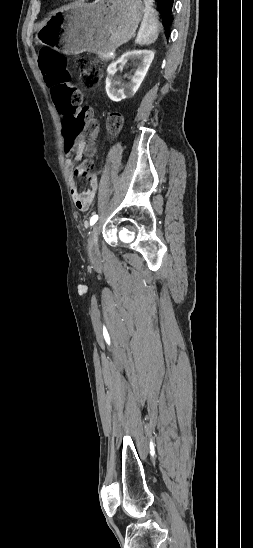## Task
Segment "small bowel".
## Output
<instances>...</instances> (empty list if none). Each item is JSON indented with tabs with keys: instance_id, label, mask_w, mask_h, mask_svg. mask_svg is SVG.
Masks as SVG:
<instances>
[{
	"instance_id": "small-bowel-1",
	"label": "small bowel",
	"mask_w": 253,
	"mask_h": 548,
	"mask_svg": "<svg viewBox=\"0 0 253 548\" xmlns=\"http://www.w3.org/2000/svg\"><path fill=\"white\" fill-rule=\"evenodd\" d=\"M44 75V74H43ZM48 86V83H46ZM86 142L84 136L75 137L72 139V143H67L66 159H67V171L70 177V192L75 206L81 210H87L93 203L97 192V178L96 176L87 177L89 180V189L87 191H80L79 185L75 180V177L82 176L77 171L75 162L81 158L85 150Z\"/></svg>"
}]
</instances>
